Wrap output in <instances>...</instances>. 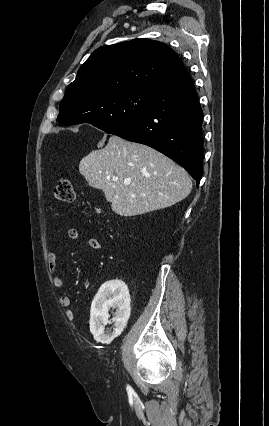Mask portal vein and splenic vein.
<instances>
[{
    "label": "portal vein and splenic vein",
    "instance_id": "18ae733b",
    "mask_svg": "<svg viewBox=\"0 0 269 426\" xmlns=\"http://www.w3.org/2000/svg\"><path fill=\"white\" fill-rule=\"evenodd\" d=\"M113 180H114V181H116V180H117V178H113Z\"/></svg>",
    "mask_w": 269,
    "mask_h": 426
}]
</instances>
